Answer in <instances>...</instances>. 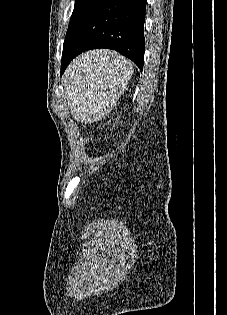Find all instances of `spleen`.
Masks as SVG:
<instances>
[{"label": "spleen", "mask_w": 227, "mask_h": 315, "mask_svg": "<svg viewBox=\"0 0 227 315\" xmlns=\"http://www.w3.org/2000/svg\"><path fill=\"white\" fill-rule=\"evenodd\" d=\"M131 73L130 61L112 51H93L77 58L64 80L65 95L74 118L93 123L107 116Z\"/></svg>", "instance_id": "spleen-1"}]
</instances>
